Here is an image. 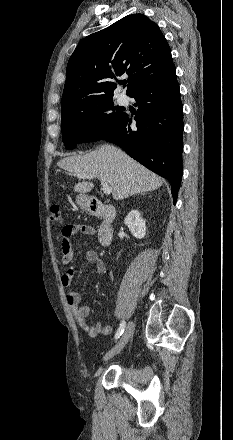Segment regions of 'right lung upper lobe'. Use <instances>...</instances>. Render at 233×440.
Wrapping results in <instances>:
<instances>
[{
  "label": "right lung upper lobe",
  "mask_w": 233,
  "mask_h": 440,
  "mask_svg": "<svg viewBox=\"0 0 233 440\" xmlns=\"http://www.w3.org/2000/svg\"><path fill=\"white\" fill-rule=\"evenodd\" d=\"M174 67L159 27L143 14L128 15L82 39L67 64L61 109L112 97L116 76L128 74L127 95Z\"/></svg>",
  "instance_id": "obj_1"
}]
</instances>
